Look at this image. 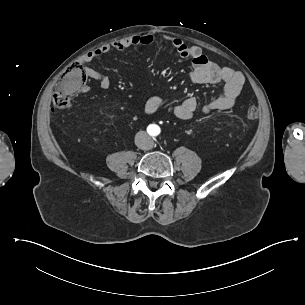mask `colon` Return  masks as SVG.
I'll return each instance as SVG.
<instances>
[{"label":"colon","mask_w":305,"mask_h":305,"mask_svg":"<svg viewBox=\"0 0 305 305\" xmlns=\"http://www.w3.org/2000/svg\"><path fill=\"white\" fill-rule=\"evenodd\" d=\"M86 86V77L78 62H71L69 68L64 72L63 77L57 83V93L53 96V106L58 109H64L77 96L81 88ZM247 117L254 119L257 110L253 107L247 109Z\"/></svg>","instance_id":"5ec220e1"}]
</instances>
